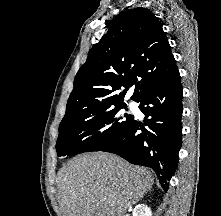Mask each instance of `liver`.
Returning <instances> with one entry per match:
<instances>
[{
    "label": "liver",
    "instance_id": "1",
    "mask_svg": "<svg viewBox=\"0 0 221 216\" xmlns=\"http://www.w3.org/2000/svg\"><path fill=\"white\" fill-rule=\"evenodd\" d=\"M153 183L143 167L109 153H86L60 169L57 198L62 216H123Z\"/></svg>",
    "mask_w": 221,
    "mask_h": 216
}]
</instances>
